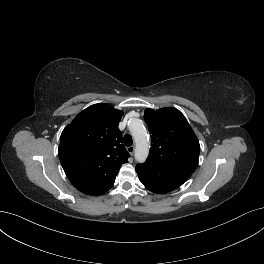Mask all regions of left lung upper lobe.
I'll return each mask as SVG.
<instances>
[{
  "label": "left lung upper lobe",
  "mask_w": 264,
  "mask_h": 264,
  "mask_svg": "<svg viewBox=\"0 0 264 264\" xmlns=\"http://www.w3.org/2000/svg\"><path fill=\"white\" fill-rule=\"evenodd\" d=\"M144 119L152 143L146 162L186 181L198 166L200 145L184 115L172 107L147 109Z\"/></svg>",
  "instance_id": "left-lung-upper-lobe-1"
}]
</instances>
